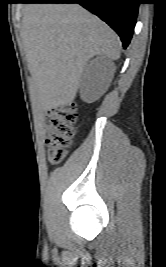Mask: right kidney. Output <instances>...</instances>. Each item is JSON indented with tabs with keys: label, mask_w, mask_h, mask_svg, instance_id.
<instances>
[{
	"label": "right kidney",
	"mask_w": 166,
	"mask_h": 267,
	"mask_svg": "<svg viewBox=\"0 0 166 267\" xmlns=\"http://www.w3.org/2000/svg\"><path fill=\"white\" fill-rule=\"evenodd\" d=\"M107 66L104 62L94 63L90 73L86 74L81 80V98L87 103L97 100L105 91L103 86L104 71ZM108 70L110 67L108 66Z\"/></svg>",
	"instance_id": "ca27d5eb"
}]
</instances>
